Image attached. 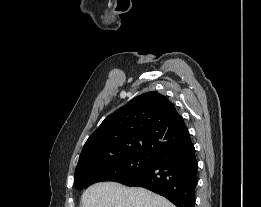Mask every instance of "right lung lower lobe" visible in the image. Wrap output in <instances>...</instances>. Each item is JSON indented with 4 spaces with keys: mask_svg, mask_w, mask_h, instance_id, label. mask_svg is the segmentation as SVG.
Instances as JSON below:
<instances>
[{
    "mask_svg": "<svg viewBox=\"0 0 261 207\" xmlns=\"http://www.w3.org/2000/svg\"><path fill=\"white\" fill-rule=\"evenodd\" d=\"M197 169L195 148L190 140L182 147L152 157L148 167L119 183L147 188L177 207H194Z\"/></svg>",
    "mask_w": 261,
    "mask_h": 207,
    "instance_id": "right-lung-lower-lobe-1",
    "label": "right lung lower lobe"
}]
</instances>
